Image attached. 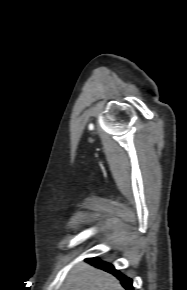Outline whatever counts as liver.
<instances>
[{"mask_svg":"<svg viewBox=\"0 0 187 290\" xmlns=\"http://www.w3.org/2000/svg\"><path fill=\"white\" fill-rule=\"evenodd\" d=\"M61 290H124L112 275L86 263L75 266Z\"/></svg>","mask_w":187,"mask_h":290,"instance_id":"liver-1","label":"liver"}]
</instances>
